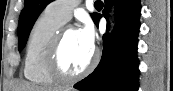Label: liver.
Wrapping results in <instances>:
<instances>
[{
    "label": "liver",
    "instance_id": "6515ba94",
    "mask_svg": "<svg viewBox=\"0 0 173 91\" xmlns=\"http://www.w3.org/2000/svg\"><path fill=\"white\" fill-rule=\"evenodd\" d=\"M13 91H59L57 88L39 87L28 82L20 83L15 86Z\"/></svg>",
    "mask_w": 173,
    "mask_h": 91
}]
</instances>
